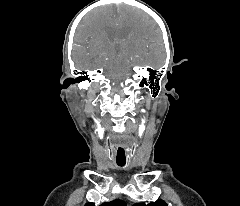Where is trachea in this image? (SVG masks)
<instances>
[{"instance_id": "trachea-1", "label": "trachea", "mask_w": 240, "mask_h": 206, "mask_svg": "<svg viewBox=\"0 0 240 206\" xmlns=\"http://www.w3.org/2000/svg\"><path fill=\"white\" fill-rule=\"evenodd\" d=\"M119 166H124V163H118Z\"/></svg>"}]
</instances>
